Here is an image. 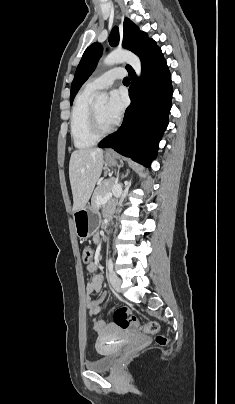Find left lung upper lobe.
<instances>
[{"mask_svg":"<svg viewBox=\"0 0 235 404\" xmlns=\"http://www.w3.org/2000/svg\"><path fill=\"white\" fill-rule=\"evenodd\" d=\"M123 33V47L139 56L141 62L144 58L158 49L156 43L152 39H149L146 33L140 31L139 28L128 18H126L124 21ZM119 39V29L117 27H114L109 36L110 45L117 46L119 44ZM102 52L103 48L97 42L90 45L84 52L82 59L76 69L75 77L71 85V104L81 85L88 79V77L95 69L98 59L102 55ZM126 69L129 72L132 70V67L127 65Z\"/></svg>","mask_w":235,"mask_h":404,"instance_id":"left-lung-upper-lobe-1","label":"left lung upper lobe"}]
</instances>
